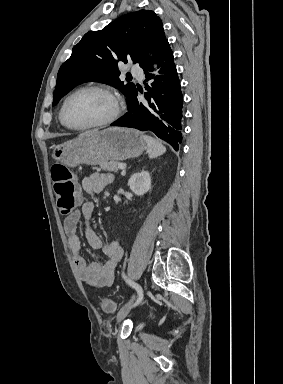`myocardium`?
<instances>
[{
    "label": "myocardium",
    "instance_id": "f54148a6",
    "mask_svg": "<svg viewBox=\"0 0 283 384\" xmlns=\"http://www.w3.org/2000/svg\"><path fill=\"white\" fill-rule=\"evenodd\" d=\"M87 91L99 92L108 98V100L110 101V104H111V111H110L109 115L107 117L101 119V120H98L96 122H93L91 124L81 126V127H73V126L68 125L66 120H65V109H66V106H67L69 100L73 96H75L79 93H82V92H87ZM119 114H120V103H119V99H118L117 95L115 94V92L108 86L100 85V84H91V85L82 86V87L74 90L65 98V100L62 104L61 110H60V121H61V124L68 130L85 131V130H90V129L99 128V127L109 125V124H111L117 120V118L119 117Z\"/></svg>",
    "mask_w": 283,
    "mask_h": 384
}]
</instances>
